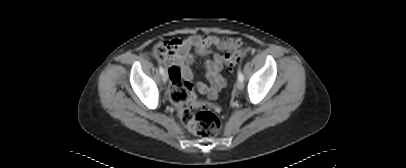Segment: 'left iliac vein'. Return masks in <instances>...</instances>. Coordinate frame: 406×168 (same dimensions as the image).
Wrapping results in <instances>:
<instances>
[{
    "mask_svg": "<svg viewBox=\"0 0 406 168\" xmlns=\"http://www.w3.org/2000/svg\"><path fill=\"white\" fill-rule=\"evenodd\" d=\"M236 87H237V89L242 90V89L244 88V83H243V81L238 80V81L236 82Z\"/></svg>",
    "mask_w": 406,
    "mask_h": 168,
    "instance_id": "left-iliac-vein-1",
    "label": "left iliac vein"
}]
</instances>
